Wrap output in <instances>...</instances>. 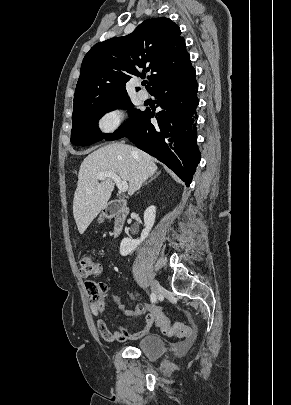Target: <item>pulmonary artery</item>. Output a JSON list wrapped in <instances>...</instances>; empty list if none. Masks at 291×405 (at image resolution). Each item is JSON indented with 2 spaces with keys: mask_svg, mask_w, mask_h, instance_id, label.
I'll list each match as a JSON object with an SVG mask.
<instances>
[{
  "mask_svg": "<svg viewBox=\"0 0 291 405\" xmlns=\"http://www.w3.org/2000/svg\"><path fill=\"white\" fill-rule=\"evenodd\" d=\"M148 92L147 91H145V90H143V89H141V90H139L138 91V97L141 99V100H146V99H148Z\"/></svg>",
  "mask_w": 291,
  "mask_h": 405,
  "instance_id": "e3ab8cb5",
  "label": "pulmonary artery"
}]
</instances>
